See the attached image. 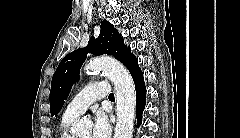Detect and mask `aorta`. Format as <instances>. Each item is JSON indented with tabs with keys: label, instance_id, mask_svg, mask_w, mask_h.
Listing matches in <instances>:
<instances>
[{
	"label": "aorta",
	"instance_id": "762f6f07",
	"mask_svg": "<svg viewBox=\"0 0 240 138\" xmlns=\"http://www.w3.org/2000/svg\"><path fill=\"white\" fill-rule=\"evenodd\" d=\"M86 73L102 71L114 84L116 90V114L117 123L114 138H132L134 130L136 91L131 75L119 61L101 57L86 63ZM90 128V121L86 118L80 119L72 129V132L80 136Z\"/></svg>",
	"mask_w": 240,
	"mask_h": 138
}]
</instances>
